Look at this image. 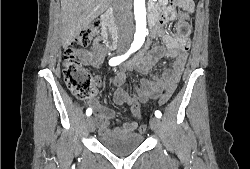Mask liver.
<instances>
[{
  "label": "liver",
  "mask_w": 250,
  "mask_h": 169,
  "mask_svg": "<svg viewBox=\"0 0 250 169\" xmlns=\"http://www.w3.org/2000/svg\"><path fill=\"white\" fill-rule=\"evenodd\" d=\"M111 0H61L62 42L68 46L81 30L102 14Z\"/></svg>",
  "instance_id": "obj_1"
}]
</instances>
